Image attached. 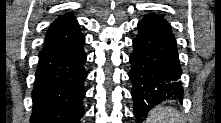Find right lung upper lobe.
Here are the masks:
<instances>
[{
  "label": "right lung upper lobe",
  "mask_w": 221,
  "mask_h": 123,
  "mask_svg": "<svg viewBox=\"0 0 221 123\" xmlns=\"http://www.w3.org/2000/svg\"><path fill=\"white\" fill-rule=\"evenodd\" d=\"M80 33L79 24L74 16L66 14L56 19L49 27L45 43L62 40Z\"/></svg>",
  "instance_id": "1"
}]
</instances>
